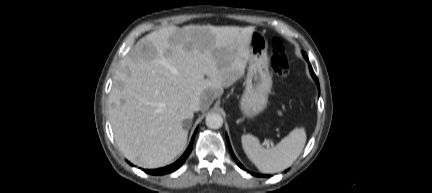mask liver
Returning <instances> with one entry per match:
<instances>
[{
	"mask_svg": "<svg viewBox=\"0 0 432 193\" xmlns=\"http://www.w3.org/2000/svg\"><path fill=\"white\" fill-rule=\"evenodd\" d=\"M255 28L169 26L141 38L121 61L109 94V117L123 155L143 168L169 164L184 149L193 119L245 72ZM205 76L207 78H205Z\"/></svg>",
	"mask_w": 432,
	"mask_h": 193,
	"instance_id": "1",
	"label": "liver"
}]
</instances>
